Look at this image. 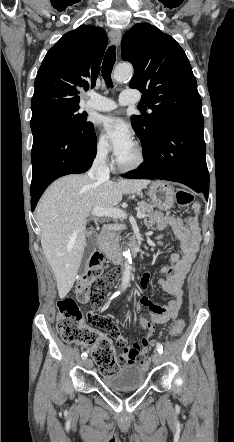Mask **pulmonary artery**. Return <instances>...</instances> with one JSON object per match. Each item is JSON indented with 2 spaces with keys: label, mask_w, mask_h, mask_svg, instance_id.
<instances>
[{
  "label": "pulmonary artery",
  "mask_w": 234,
  "mask_h": 442,
  "mask_svg": "<svg viewBox=\"0 0 234 442\" xmlns=\"http://www.w3.org/2000/svg\"><path fill=\"white\" fill-rule=\"evenodd\" d=\"M139 98L132 93L125 91L119 97V105H130L137 103ZM117 103L110 98L98 95L94 92L90 93V98L86 103L89 110L107 112L117 108Z\"/></svg>",
  "instance_id": "pulmonary-artery-1"
}]
</instances>
